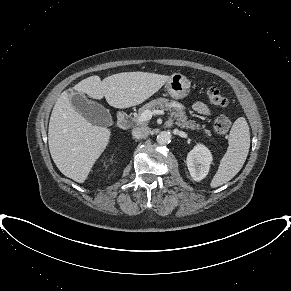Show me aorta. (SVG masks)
Returning a JSON list of instances; mask_svg holds the SVG:
<instances>
[{"label": "aorta", "mask_w": 291, "mask_h": 291, "mask_svg": "<svg viewBox=\"0 0 291 291\" xmlns=\"http://www.w3.org/2000/svg\"><path fill=\"white\" fill-rule=\"evenodd\" d=\"M156 141L160 145H165L171 141V133L168 131H162L157 135Z\"/></svg>", "instance_id": "762f6f07"}]
</instances>
